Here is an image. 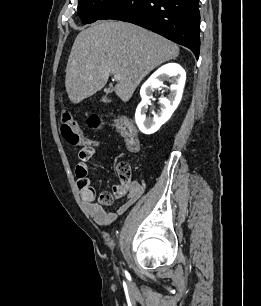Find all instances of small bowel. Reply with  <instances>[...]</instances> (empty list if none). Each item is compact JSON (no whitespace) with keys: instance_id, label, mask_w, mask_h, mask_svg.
<instances>
[{"instance_id":"obj_1","label":"small bowel","mask_w":261,"mask_h":306,"mask_svg":"<svg viewBox=\"0 0 261 306\" xmlns=\"http://www.w3.org/2000/svg\"><path fill=\"white\" fill-rule=\"evenodd\" d=\"M95 145L96 142L92 141L91 153L85 158H80V162L76 166L78 180L84 177L89 181L88 167L85 162L93 155ZM114 189L120 192V196L126 195L125 200L114 211L106 209L100 202L93 201L94 193L91 187L89 189H80V197L88 213L100 225L107 226L112 224L118 216L122 215L141 197L144 191L143 186L137 181L131 182L126 188L116 186Z\"/></svg>"}]
</instances>
